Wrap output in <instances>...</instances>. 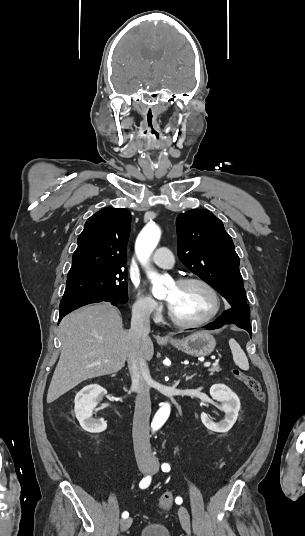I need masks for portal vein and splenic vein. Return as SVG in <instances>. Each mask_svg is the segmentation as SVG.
I'll use <instances>...</instances> for the list:
<instances>
[{"instance_id":"obj_1","label":"portal vein and splenic vein","mask_w":305,"mask_h":536,"mask_svg":"<svg viewBox=\"0 0 305 536\" xmlns=\"http://www.w3.org/2000/svg\"><path fill=\"white\" fill-rule=\"evenodd\" d=\"M104 362H108V360H104ZM97 364H101V362H97ZM205 368H209L211 366L210 362H205L204 364Z\"/></svg>"}]
</instances>
